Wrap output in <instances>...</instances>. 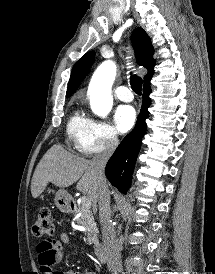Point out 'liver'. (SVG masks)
<instances>
[{
  "mask_svg": "<svg viewBox=\"0 0 215 274\" xmlns=\"http://www.w3.org/2000/svg\"><path fill=\"white\" fill-rule=\"evenodd\" d=\"M77 190L97 202L98 180L91 161L68 152L60 145L52 146L38 163L31 182V193L37 198L49 182L68 187L77 182Z\"/></svg>",
  "mask_w": 215,
  "mask_h": 274,
  "instance_id": "liver-1",
  "label": "liver"
}]
</instances>
